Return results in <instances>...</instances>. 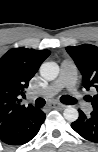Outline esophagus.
I'll return each mask as SVG.
<instances>
[{
  "label": "esophagus",
  "mask_w": 98,
  "mask_h": 152,
  "mask_svg": "<svg viewBox=\"0 0 98 152\" xmlns=\"http://www.w3.org/2000/svg\"><path fill=\"white\" fill-rule=\"evenodd\" d=\"M48 106H49V108H51V109H60V110H62V109L65 108V105L60 104V103H58V102L50 103Z\"/></svg>",
  "instance_id": "1"
}]
</instances>
